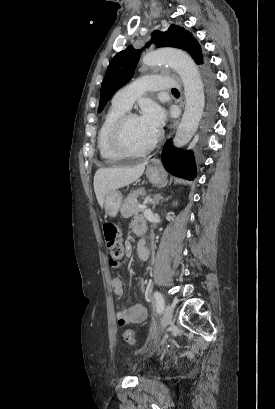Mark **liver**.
I'll return each mask as SVG.
<instances>
[{
    "label": "liver",
    "mask_w": 275,
    "mask_h": 409,
    "mask_svg": "<svg viewBox=\"0 0 275 409\" xmlns=\"http://www.w3.org/2000/svg\"><path fill=\"white\" fill-rule=\"evenodd\" d=\"M145 164H137L134 168H98L94 176V190L100 207L104 205V196L111 190L131 184L140 178Z\"/></svg>",
    "instance_id": "1"
}]
</instances>
